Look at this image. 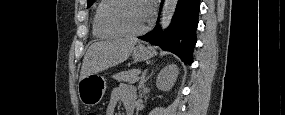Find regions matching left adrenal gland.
Returning <instances> with one entry per match:
<instances>
[{
    "label": "left adrenal gland",
    "mask_w": 285,
    "mask_h": 115,
    "mask_svg": "<svg viewBox=\"0 0 285 115\" xmlns=\"http://www.w3.org/2000/svg\"><path fill=\"white\" fill-rule=\"evenodd\" d=\"M150 76H146V75H143L142 78L140 79V89L144 88V84L145 82L149 79Z\"/></svg>",
    "instance_id": "1"
}]
</instances>
